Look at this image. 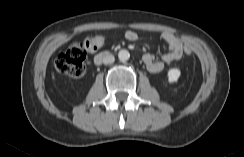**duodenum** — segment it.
Returning <instances> with one entry per match:
<instances>
[{
  "label": "duodenum",
  "mask_w": 244,
  "mask_h": 157,
  "mask_svg": "<svg viewBox=\"0 0 244 157\" xmlns=\"http://www.w3.org/2000/svg\"><path fill=\"white\" fill-rule=\"evenodd\" d=\"M111 54L110 51L100 52L94 57V64L100 65L105 58H107Z\"/></svg>",
  "instance_id": "duodenum-1"
}]
</instances>
